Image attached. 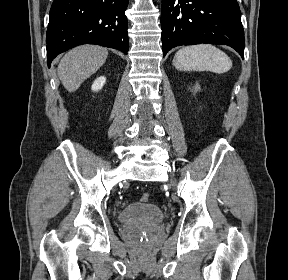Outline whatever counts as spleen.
<instances>
[{
	"label": "spleen",
	"mask_w": 288,
	"mask_h": 280,
	"mask_svg": "<svg viewBox=\"0 0 288 280\" xmlns=\"http://www.w3.org/2000/svg\"><path fill=\"white\" fill-rule=\"evenodd\" d=\"M173 66L182 71H212L225 73L232 67L230 57L214 45L201 44L183 47L173 59Z\"/></svg>",
	"instance_id": "1"
}]
</instances>
